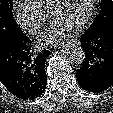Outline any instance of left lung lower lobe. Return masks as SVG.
<instances>
[{"label":"left lung lower lobe","mask_w":113,"mask_h":113,"mask_svg":"<svg viewBox=\"0 0 113 113\" xmlns=\"http://www.w3.org/2000/svg\"><path fill=\"white\" fill-rule=\"evenodd\" d=\"M85 60L76 77L78 84L90 92H102L113 84V24L81 35Z\"/></svg>","instance_id":"left-lung-lower-lobe-1"}]
</instances>
